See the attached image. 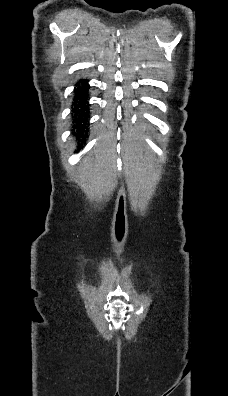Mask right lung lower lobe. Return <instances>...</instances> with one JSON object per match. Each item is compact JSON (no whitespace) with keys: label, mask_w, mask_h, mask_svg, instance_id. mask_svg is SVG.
I'll use <instances>...</instances> for the list:
<instances>
[{"label":"right lung lower lobe","mask_w":228,"mask_h":396,"mask_svg":"<svg viewBox=\"0 0 228 396\" xmlns=\"http://www.w3.org/2000/svg\"><path fill=\"white\" fill-rule=\"evenodd\" d=\"M74 91V102L72 109L73 117V135L76 139L85 143L88 137V120L90 118L89 104H88V89L87 80H81L76 84ZM79 147L83 146L79 144Z\"/></svg>","instance_id":"right-lung-lower-lobe-1"}]
</instances>
